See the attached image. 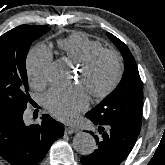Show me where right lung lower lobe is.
Masks as SVG:
<instances>
[{
    "label": "right lung lower lobe",
    "instance_id": "obj_1",
    "mask_svg": "<svg viewBox=\"0 0 165 165\" xmlns=\"http://www.w3.org/2000/svg\"><path fill=\"white\" fill-rule=\"evenodd\" d=\"M63 134L64 125L47 114L26 126L23 111L0 113V156L12 165H36Z\"/></svg>",
    "mask_w": 165,
    "mask_h": 165
}]
</instances>
